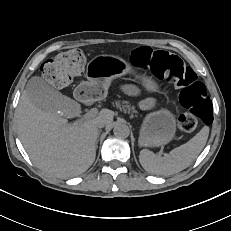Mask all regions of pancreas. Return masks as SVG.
Segmentation results:
<instances>
[{"label":"pancreas","instance_id":"1","mask_svg":"<svg viewBox=\"0 0 231 231\" xmlns=\"http://www.w3.org/2000/svg\"><path fill=\"white\" fill-rule=\"evenodd\" d=\"M113 104H115V106L117 108H119L120 110H123L125 112L131 113L132 115L135 114V116H137L138 112L135 109V107L127 104V102H125V101H122V102L115 101V103H113Z\"/></svg>","mask_w":231,"mask_h":231}]
</instances>
